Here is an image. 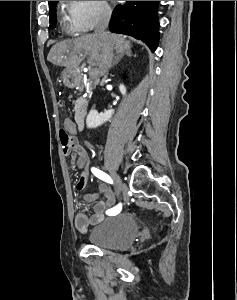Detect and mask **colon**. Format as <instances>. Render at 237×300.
Masks as SVG:
<instances>
[{"instance_id": "colon-1", "label": "colon", "mask_w": 237, "mask_h": 300, "mask_svg": "<svg viewBox=\"0 0 237 300\" xmlns=\"http://www.w3.org/2000/svg\"><path fill=\"white\" fill-rule=\"evenodd\" d=\"M60 140L64 151L72 150L76 147L77 142L64 129L60 131Z\"/></svg>"}]
</instances>
